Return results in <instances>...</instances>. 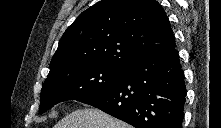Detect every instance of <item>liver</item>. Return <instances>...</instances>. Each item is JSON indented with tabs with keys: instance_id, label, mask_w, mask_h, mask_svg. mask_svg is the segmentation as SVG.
<instances>
[{
	"instance_id": "obj_1",
	"label": "liver",
	"mask_w": 221,
	"mask_h": 128,
	"mask_svg": "<svg viewBox=\"0 0 221 128\" xmlns=\"http://www.w3.org/2000/svg\"><path fill=\"white\" fill-rule=\"evenodd\" d=\"M54 128H132L97 108L77 109L65 116Z\"/></svg>"
}]
</instances>
